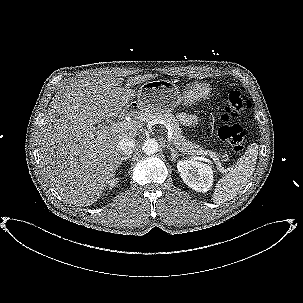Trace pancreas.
Returning <instances> with one entry per match:
<instances>
[{
  "label": "pancreas",
  "instance_id": "obj_1",
  "mask_svg": "<svg viewBox=\"0 0 303 303\" xmlns=\"http://www.w3.org/2000/svg\"><path fill=\"white\" fill-rule=\"evenodd\" d=\"M141 116L143 118H147L148 120H158L165 122L172 132V143L176 147L180 148L182 153L189 155L207 153L208 155H214L216 158L218 157L216 153L209 150H203L200 145L187 140L186 137L183 136V132L179 127L177 119L171 113H143Z\"/></svg>",
  "mask_w": 303,
  "mask_h": 303
}]
</instances>
